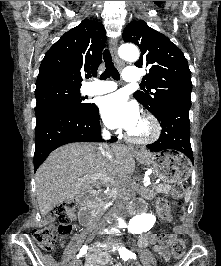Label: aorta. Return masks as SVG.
<instances>
[{
  "label": "aorta",
  "mask_w": 221,
  "mask_h": 266,
  "mask_svg": "<svg viewBox=\"0 0 221 266\" xmlns=\"http://www.w3.org/2000/svg\"><path fill=\"white\" fill-rule=\"evenodd\" d=\"M119 56L126 61L136 62L139 58V51L132 44H123L119 48ZM144 181H149L145 178ZM154 222V217L150 214H139L133 217L128 225V231L133 234H139L150 229Z\"/></svg>",
  "instance_id": "1"
}]
</instances>
